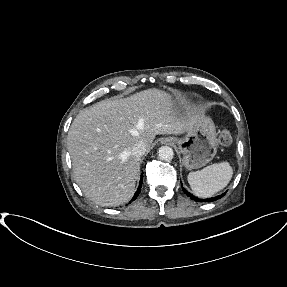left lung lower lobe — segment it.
Segmentation results:
<instances>
[{"mask_svg": "<svg viewBox=\"0 0 287 287\" xmlns=\"http://www.w3.org/2000/svg\"><path fill=\"white\" fill-rule=\"evenodd\" d=\"M182 189H183L184 193H185L190 199L195 200L196 202H212V201H216V200L222 198V197L225 195V193H224V194H221V195L216 196V197H214V198L199 199V198L193 196L191 193H189L185 188H182Z\"/></svg>", "mask_w": 287, "mask_h": 287, "instance_id": "0a47b994", "label": "left lung lower lobe"}]
</instances>
